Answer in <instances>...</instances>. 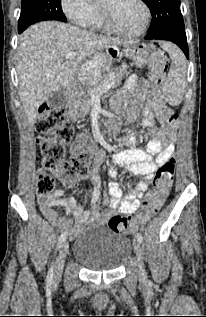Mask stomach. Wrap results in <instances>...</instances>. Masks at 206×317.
<instances>
[{"label":"stomach","instance_id":"stomach-1","mask_svg":"<svg viewBox=\"0 0 206 317\" xmlns=\"http://www.w3.org/2000/svg\"><path fill=\"white\" fill-rule=\"evenodd\" d=\"M124 54L129 58V66L144 65L152 54V47L144 43H130L125 46ZM113 55L99 54L92 55L91 59H82V67L76 68L77 83L81 86L93 85L100 82V74L109 71V66H113Z\"/></svg>","mask_w":206,"mask_h":317}]
</instances>
